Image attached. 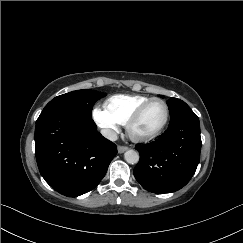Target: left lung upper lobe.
Instances as JSON below:
<instances>
[{
    "label": "left lung upper lobe",
    "instance_id": "obj_1",
    "mask_svg": "<svg viewBox=\"0 0 243 243\" xmlns=\"http://www.w3.org/2000/svg\"><path fill=\"white\" fill-rule=\"evenodd\" d=\"M163 97V96H161ZM167 104L169 106V110L171 113V120L170 124L174 123L178 119L185 117V116H191L195 113L189 108V106L183 102L180 99L177 98H171L167 101Z\"/></svg>",
    "mask_w": 243,
    "mask_h": 243
}]
</instances>
